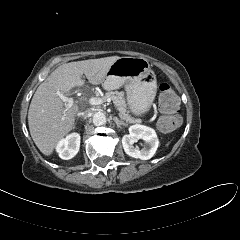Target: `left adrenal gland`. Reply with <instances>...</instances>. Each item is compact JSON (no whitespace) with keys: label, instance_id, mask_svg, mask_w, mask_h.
<instances>
[{"label":"left adrenal gland","instance_id":"left-adrenal-gland-1","mask_svg":"<svg viewBox=\"0 0 240 240\" xmlns=\"http://www.w3.org/2000/svg\"><path fill=\"white\" fill-rule=\"evenodd\" d=\"M114 121H115L118 128H120L121 126H125V127L128 126L127 123H125L122 120H119L117 117H114Z\"/></svg>","mask_w":240,"mask_h":240}]
</instances>
